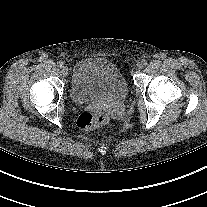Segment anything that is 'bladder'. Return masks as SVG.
Instances as JSON below:
<instances>
[{
    "mask_svg": "<svg viewBox=\"0 0 207 207\" xmlns=\"http://www.w3.org/2000/svg\"><path fill=\"white\" fill-rule=\"evenodd\" d=\"M129 92L121 70L103 58H84L72 71L70 93L78 104L92 101L122 99Z\"/></svg>",
    "mask_w": 207,
    "mask_h": 207,
    "instance_id": "bladder-1",
    "label": "bladder"
}]
</instances>
